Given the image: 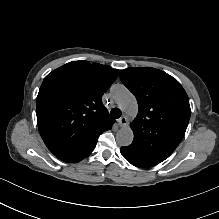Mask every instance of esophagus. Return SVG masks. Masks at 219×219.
<instances>
[{
    "instance_id": "obj_1",
    "label": "esophagus",
    "mask_w": 219,
    "mask_h": 219,
    "mask_svg": "<svg viewBox=\"0 0 219 219\" xmlns=\"http://www.w3.org/2000/svg\"><path fill=\"white\" fill-rule=\"evenodd\" d=\"M118 123L120 126H126L128 124V120L126 116H122L118 119Z\"/></svg>"
}]
</instances>
